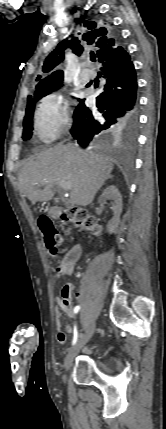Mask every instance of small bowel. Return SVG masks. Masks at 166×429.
<instances>
[{"label":"small bowel","instance_id":"obj_1","mask_svg":"<svg viewBox=\"0 0 166 429\" xmlns=\"http://www.w3.org/2000/svg\"><path fill=\"white\" fill-rule=\"evenodd\" d=\"M82 246L80 244H72L66 246L62 251V257L59 265L55 269L56 277H65L70 276L74 271V266L76 262L82 255ZM70 287L68 286V290H65V287L62 289L61 295L57 298V308L55 311L56 316V329H57V340L60 344L66 343V334L62 328L60 318L61 314L64 313L68 317H74V309L70 299ZM77 298L81 297L80 293L76 294ZM67 333H72L73 328L70 325H67L65 328Z\"/></svg>","mask_w":166,"mask_h":429}]
</instances>
